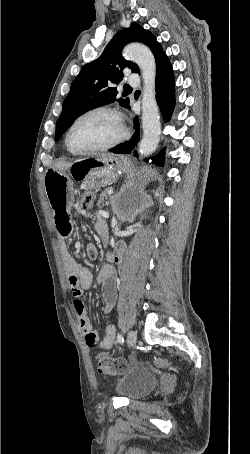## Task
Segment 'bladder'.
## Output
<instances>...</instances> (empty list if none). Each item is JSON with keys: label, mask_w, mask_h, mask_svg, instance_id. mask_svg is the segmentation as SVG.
<instances>
[{"label": "bladder", "mask_w": 250, "mask_h": 454, "mask_svg": "<svg viewBox=\"0 0 250 454\" xmlns=\"http://www.w3.org/2000/svg\"><path fill=\"white\" fill-rule=\"evenodd\" d=\"M156 384V375L146 367H133L119 376L114 391L129 400L140 399L149 394Z\"/></svg>", "instance_id": "31cf9c89"}]
</instances>
